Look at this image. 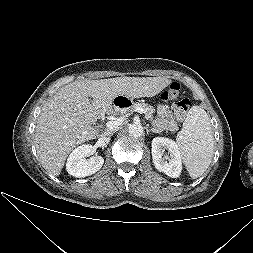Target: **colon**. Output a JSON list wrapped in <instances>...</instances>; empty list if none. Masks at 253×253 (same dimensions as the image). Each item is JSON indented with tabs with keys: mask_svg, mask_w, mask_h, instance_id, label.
I'll return each instance as SVG.
<instances>
[{
	"mask_svg": "<svg viewBox=\"0 0 253 253\" xmlns=\"http://www.w3.org/2000/svg\"><path fill=\"white\" fill-rule=\"evenodd\" d=\"M180 90V85L176 82L172 83L169 87L168 90H166L163 94L162 97L163 99H170V98H175ZM190 107V101L187 98H184L178 102L175 103V110H176V115L178 118L183 119L187 111Z\"/></svg>",
	"mask_w": 253,
	"mask_h": 253,
	"instance_id": "5ec220e1",
	"label": "colon"
}]
</instances>
